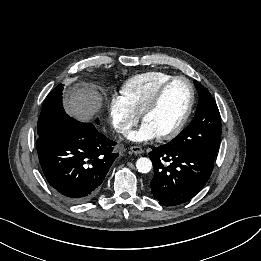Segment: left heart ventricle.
<instances>
[{
	"instance_id": "left-heart-ventricle-1",
	"label": "left heart ventricle",
	"mask_w": 261,
	"mask_h": 261,
	"mask_svg": "<svg viewBox=\"0 0 261 261\" xmlns=\"http://www.w3.org/2000/svg\"><path fill=\"white\" fill-rule=\"evenodd\" d=\"M190 98L189 87L184 81L173 83L166 91L159 108L150 114L145 124L158 135L173 130L186 112Z\"/></svg>"
}]
</instances>
